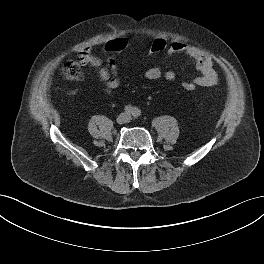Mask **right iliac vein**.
I'll list each match as a JSON object with an SVG mask.
<instances>
[{
  "label": "right iliac vein",
  "mask_w": 264,
  "mask_h": 264,
  "mask_svg": "<svg viewBox=\"0 0 264 264\" xmlns=\"http://www.w3.org/2000/svg\"><path fill=\"white\" fill-rule=\"evenodd\" d=\"M125 119H126V116L124 114H121V115L118 116L117 122L119 124H122L125 121Z\"/></svg>",
  "instance_id": "right-iliac-vein-1"
}]
</instances>
